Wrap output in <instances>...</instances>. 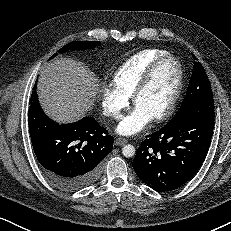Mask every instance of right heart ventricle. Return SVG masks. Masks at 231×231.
I'll list each match as a JSON object with an SVG mask.
<instances>
[{
	"label": "right heart ventricle",
	"mask_w": 231,
	"mask_h": 231,
	"mask_svg": "<svg viewBox=\"0 0 231 231\" xmlns=\"http://www.w3.org/2000/svg\"><path fill=\"white\" fill-rule=\"evenodd\" d=\"M164 54L166 51L160 49H147L136 53L116 70L113 75L114 85L131 97L150 63Z\"/></svg>",
	"instance_id": "right-heart-ventricle-1"
}]
</instances>
